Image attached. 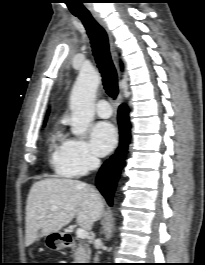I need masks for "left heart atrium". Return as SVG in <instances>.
<instances>
[{
  "label": "left heart atrium",
  "instance_id": "39dd6f15",
  "mask_svg": "<svg viewBox=\"0 0 205 265\" xmlns=\"http://www.w3.org/2000/svg\"><path fill=\"white\" fill-rule=\"evenodd\" d=\"M117 142V132L109 122L95 124L91 131V145L93 151L100 156L108 154Z\"/></svg>",
  "mask_w": 205,
  "mask_h": 265
}]
</instances>
